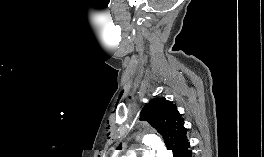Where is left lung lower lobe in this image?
<instances>
[{
	"label": "left lung lower lobe",
	"mask_w": 264,
	"mask_h": 157,
	"mask_svg": "<svg viewBox=\"0 0 264 157\" xmlns=\"http://www.w3.org/2000/svg\"><path fill=\"white\" fill-rule=\"evenodd\" d=\"M173 157H192V151L190 150V143L188 139L181 142L174 150Z\"/></svg>",
	"instance_id": "left-lung-lower-lobe-1"
}]
</instances>
